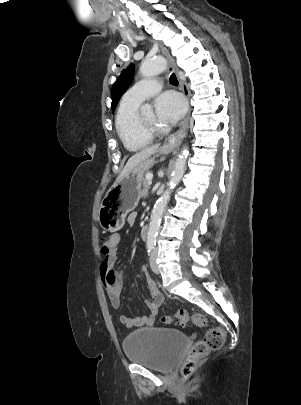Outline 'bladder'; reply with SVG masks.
Masks as SVG:
<instances>
[{
  "label": "bladder",
  "mask_w": 301,
  "mask_h": 405,
  "mask_svg": "<svg viewBox=\"0 0 301 405\" xmlns=\"http://www.w3.org/2000/svg\"><path fill=\"white\" fill-rule=\"evenodd\" d=\"M187 346V337L170 328H143L128 334L123 341L127 359L134 364L169 372Z\"/></svg>",
  "instance_id": "bladder-1"
}]
</instances>
